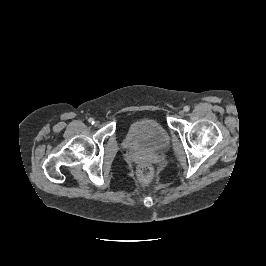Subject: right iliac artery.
Masks as SVG:
<instances>
[{
  "mask_svg": "<svg viewBox=\"0 0 266 266\" xmlns=\"http://www.w3.org/2000/svg\"><path fill=\"white\" fill-rule=\"evenodd\" d=\"M88 122H89L90 124H94V119H93V118H89Z\"/></svg>",
  "mask_w": 266,
  "mask_h": 266,
  "instance_id": "obj_1",
  "label": "right iliac artery"
}]
</instances>
